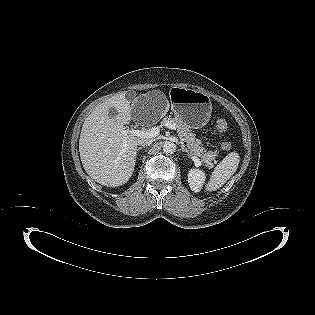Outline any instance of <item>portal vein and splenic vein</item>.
<instances>
[{
	"label": "portal vein and splenic vein",
	"instance_id": "1",
	"mask_svg": "<svg viewBox=\"0 0 315 315\" xmlns=\"http://www.w3.org/2000/svg\"><path fill=\"white\" fill-rule=\"evenodd\" d=\"M162 126H166L169 129L175 130L176 125L174 123H165ZM160 129L159 127H152L149 130H135V129H127L123 131V134H132L139 138H154L157 135H159ZM200 156L193 155L192 159L194 162H200L199 158Z\"/></svg>",
	"mask_w": 315,
	"mask_h": 315
}]
</instances>
